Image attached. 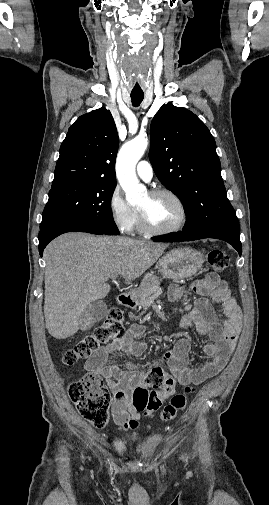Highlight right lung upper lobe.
I'll list each match as a JSON object with an SVG mask.
<instances>
[{
    "label": "right lung upper lobe",
    "instance_id": "obj_1",
    "mask_svg": "<svg viewBox=\"0 0 269 505\" xmlns=\"http://www.w3.org/2000/svg\"><path fill=\"white\" fill-rule=\"evenodd\" d=\"M118 146L109 110L102 107L80 116L61 144L52 187L78 182L116 183Z\"/></svg>",
    "mask_w": 269,
    "mask_h": 505
}]
</instances>
